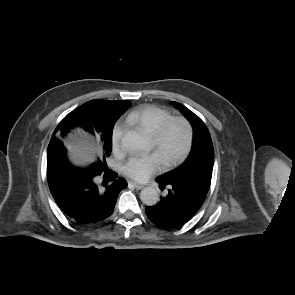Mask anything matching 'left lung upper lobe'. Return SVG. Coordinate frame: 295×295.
Returning a JSON list of instances; mask_svg holds the SVG:
<instances>
[{
    "mask_svg": "<svg viewBox=\"0 0 295 295\" xmlns=\"http://www.w3.org/2000/svg\"><path fill=\"white\" fill-rule=\"evenodd\" d=\"M193 127V146L187 159L176 169L157 177L162 181H177L187 185L207 184L210 187L214 164V149L210 133L203 121L180 103H172Z\"/></svg>",
    "mask_w": 295,
    "mask_h": 295,
    "instance_id": "left-lung-upper-lobe-1",
    "label": "left lung upper lobe"
}]
</instances>
